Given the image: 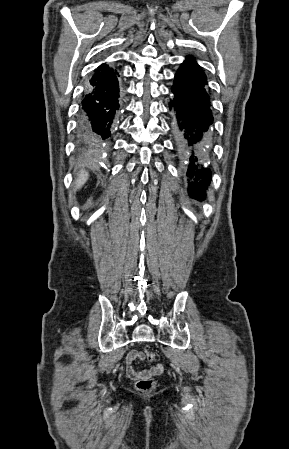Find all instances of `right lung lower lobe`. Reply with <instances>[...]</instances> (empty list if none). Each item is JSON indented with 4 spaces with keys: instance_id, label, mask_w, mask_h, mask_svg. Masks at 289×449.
Returning a JSON list of instances; mask_svg holds the SVG:
<instances>
[{
    "instance_id": "1",
    "label": "right lung lower lobe",
    "mask_w": 289,
    "mask_h": 449,
    "mask_svg": "<svg viewBox=\"0 0 289 449\" xmlns=\"http://www.w3.org/2000/svg\"><path fill=\"white\" fill-rule=\"evenodd\" d=\"M101 65L90 79L82 100L79 129L86 140L108 146L120 107L119 84L116 70Z\"/></svg>"
}]
</instances>
